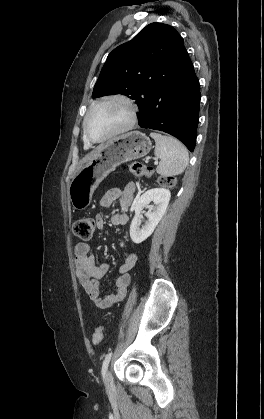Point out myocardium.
<instances>
[{
	"mask_svg": "<svg viewBox=\"0 0 264 419\" xmlns=\"http://www.w3.org/2000/svg\"><path fill=\"white\" fill-rule=\"evenodd\" d=\"M112 101L121 102L127 107V109H128V120H127V122L122 127L116 129L115 131L111 132L110 134H108L107 136H105L103 138H100V139L92 138L89 135L88 130H87V122H88L89 116L91 115L92 111L96 107H98L102 104L108 103V102H112ZM136 121H137V106L130 97H128L127 95H124V94H120V93L105 95V96L97 99L96 101H94L90 105L86 115L84 116L82 127H83V133H84L85 140L90 144H99V143L106 142L108 140H111V139H113V138H115L119 135H122V134L130 131L135 126Z\"/></svg>",
	"mask_w": 264,
	"mask_h": 419,
	"instance_id": "obj_1",
	"label": "myocardium"
}]
</instances>
